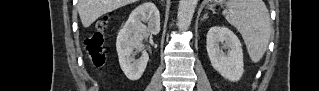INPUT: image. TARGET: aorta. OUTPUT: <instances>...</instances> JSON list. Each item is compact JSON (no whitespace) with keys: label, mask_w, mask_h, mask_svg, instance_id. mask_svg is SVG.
I'll list each match as a JSON object with an SVG mask.
<instances>
[{"label":"aorta","mask_w":319,"mask_h":91,"mask_svg":"<svg viewBox=\"0 0 319 91\" xmlns=\"http://www.w3.org/2000/svg\"><path fill=\"white\" fill-rule=\"evenodd\" d=\"M198 0H180L177 14L179 30H187L191 24Z\"/></svg>","instance_id":"obj_1"}]
</instances>
